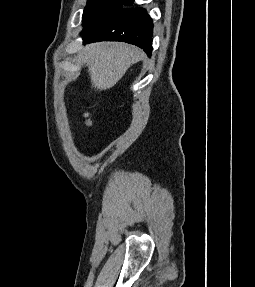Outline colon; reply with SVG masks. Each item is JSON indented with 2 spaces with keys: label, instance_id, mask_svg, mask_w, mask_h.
<instances>
[{
  "label": "colon",
  "instance_id": "5ec220e1",
  "mask_svg": "<svg viewBox=\"0 0 255 287\" xmlns=\"http://www.w3.org/2000/svg\"><path fill=\"white\" fill-rule=\"evenodd\" d=\"M86 117H87V124H88V125H91V124H92V121H91V119L89 118V115L87 114Z\"/></svg>",
  "mask_w": 255,
  "mask_h": 287
}]
</instances>
